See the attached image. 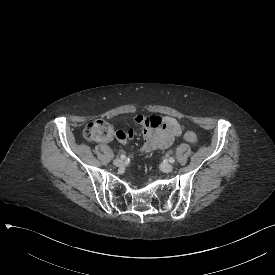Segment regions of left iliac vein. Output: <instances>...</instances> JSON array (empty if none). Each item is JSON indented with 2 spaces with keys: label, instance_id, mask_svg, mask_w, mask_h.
Wrapping results in <instances>:
<instances>
[{
  "label": "left iliac vein",
  "instance_id": "left-iliac-vein-1",
  "mask_svg": "<svg viewBox=\"0 0 275 275\" xmlns=\"http://www.w3.org/2000/svg\"><path fill=\"white\" fill-rule=\"evenodd\" d=\"M161 170L165 173H169L173 170V165H171L169 163H165L161 166Z\"/></svg>",
  "mask_w": 275,
  "mask_h": 275
}]
</instances>
